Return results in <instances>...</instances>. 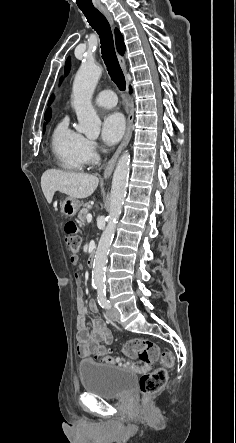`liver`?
<instances>
[{"label":"liver","instance_id":"liver-1","mask_svg":"<svg viewBox=\"0 0 236 443\" xmlns=\"http://www.w3.org/2000/svg\"><path fill=\"white\" fill-rule=\"evenodd\" d=\"M98 183L99 179L92 174L55 169L45 171L41 177V188L49 204L56 191L76 199L87 198L95 191Z\"/></svg>","mask_w":236,"mask_h":443}]
</instances>
